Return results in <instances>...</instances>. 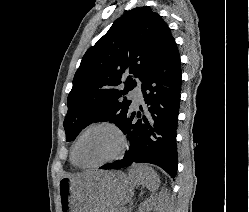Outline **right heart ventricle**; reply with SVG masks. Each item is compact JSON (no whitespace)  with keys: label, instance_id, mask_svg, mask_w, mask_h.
Returning a JSON list of instances; mask_svg holds the SVG:
<instances>
[{"label":"right heart ventricle","instance_id":"e07e8e85","mask_svg":"<svg viewBox=\"0 0 249 212\" xmlns=\"http://www.w3.org/2000/svg\"><path fill=\"white\" fill-rule=\"evenodd\" d=\"M70 164H71L73 167L77 168V166H76L75 163L73 162L72 154L70 155Z\"/></svg>","mask_w":249,"mask_h":212}]
</instances>
